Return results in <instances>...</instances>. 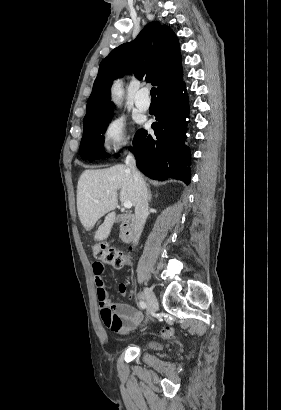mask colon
Instances as JSON below:
<instances>
[{
    "label": "colon",
    "instance_id": "colon-1",
    "mask_svg": "<svg viewBox=\"0 0 281 410\" xmlns=\"http://www.w3.org/2000/svg\"><path fill=\"white\" fill-rule=\"evenodd\" d=\"M95 257L106 265L113 266L114 268H122L129 262V258L123 253L109 248L103 243H99L94 247ZM103 322L110 330L119 328L122 324L121 320L114 314L106 311L102 313ZM161 335L163 338H171L174 335V329L172 327H166L162 329Z\"/></svg>",
    "mask_w": 281,
    "mask_h": 410
}]
</instances>
